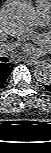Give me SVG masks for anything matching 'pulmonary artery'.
<instances>
[{
  "instance_id": "1",
  "label": "pulmonary artery",
  "mask_w": 51,
  "mask_h": 153,
  "mask_svg": "<svg viewBox=\"0 0 51 153\" xmlns=\"http://www.w3.org/2000/svg\"><path fill=\"white\" fill-rule=\"evenodd\" d=\"M50 14H51V8L49 6H46L42 9H36V19L37 22L41 25L46 24L50 20ZM13 47V45H5L4 49L9 50Z\"/></svg>"
}]
</instances>
